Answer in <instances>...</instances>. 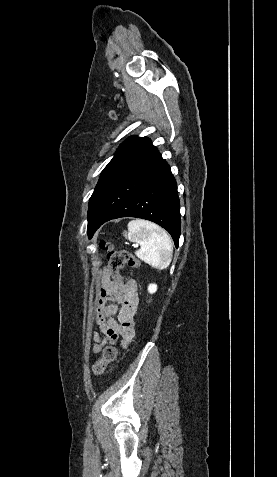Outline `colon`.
Wrapping results in <instances>:
<instances>
[{"label":"colon","instance_id":"1","mask_svg":"<svg viewBox=\"0 0 277 477\" xmlns=\"http://www.w3.org/2000/svg\"><path fill=\"white\" fill-rule=\"evenodd\" d=\"M102 248L105 251V257L108 262L109 273L114 280H122L121 270L126 266L137 268L140 262L130 253L123 250H116L110 244L102 242ZM117 358V349L114 346H108L103 351L102 358L93 365L95 375L102 374L107 365Z\"/></svg>","mask_w":277,"mask_h":477}]
</instances>
